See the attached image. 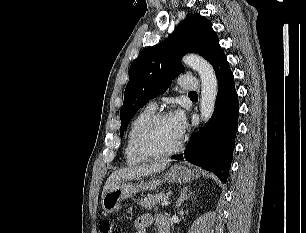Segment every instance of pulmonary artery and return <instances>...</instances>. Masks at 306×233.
<instances>
[{"label":"pulmonary artery","mask_w":306,"mask_h":233,"mask_svg":"<svg viewBox=\"0 0 306 233\" xmlns=\"http://www.w3.org/2000/svg\"><path fill=\"white\" fill-rule=\"evenodd\" d=\"M179 86L181 88V90L183 91H195L199 88V84L198 81L194 78V77H189L186 75H182L179 78ZM149 106L152 108L156 107V102L155 101H151L149 103Z\"/></svg>","instance_id":"1"}]
</instances>
